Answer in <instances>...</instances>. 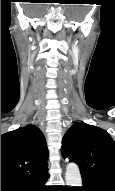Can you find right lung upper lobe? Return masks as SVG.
<instances>
[{
	"label": "right lung upper lobe",
	"mask_w": 115,
	"mask_h": 191,
	"mask_svg": "<svg viewBox=\"0 0 115 191\" xmlns=\"http://www.w3.org/2000/svg\"><path fill=\"white\" fill-rule=\"evenodd\" d=\"M47 158L45 138L36 126L1 135V182H21L48 174Z\"/></svg>",
	"instance_id": "cb5924a9"
}]
</instances>
